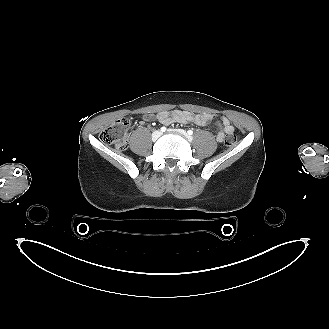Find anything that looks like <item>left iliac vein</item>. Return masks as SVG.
I'll use <instances>...</instances> for the list:
<instances>
[{"mask_svg": "<svg viewBox=\"0 0 329 329\" xmlns=\"http://www.w3.org/2000/svg\"><path fill=\"white\" fill-rule=\"evenodd\" d=\"M176 132L184 135L188 140L190 139V136H188L187 133L184 130L179 129V130H176Z\"/></svg>", "mask_w": 329, "mask_h": 329, "instance_id": "obj_1", "label": "left iliac vein"}]
</instances>
